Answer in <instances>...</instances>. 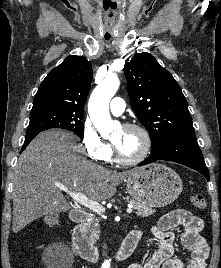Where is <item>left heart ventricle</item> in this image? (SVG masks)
<instances>
[{
    "mask_svg": "<svg viewBox=\"0 0 221 268\" xmlns=\"http://www.w3.org/2000/svg\"><path fill=\"white\" fill-rule=\"evenodd\" d=\"M112 142L121 155L128 159L137 157L144 147V138L137 130L120 128L113 136Z\"/></svg>",
    "mask_w": 221,
    "mask_h": 268,
    "instance_id": "b2bd125f",
    "label": "left heart ventricle"
}]
</instances>
